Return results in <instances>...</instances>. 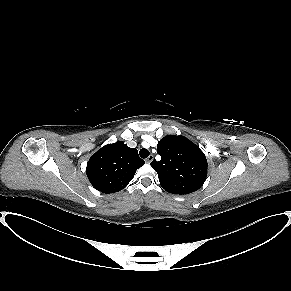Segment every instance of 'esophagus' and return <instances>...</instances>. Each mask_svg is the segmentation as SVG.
Masks as SVG:
<instances>
[{
  "label": "esophagus",
  "mask_w": 291,
  "mask_h": 291,
  "mask_svg": "<svg viewBox=\"0 0 291 291\" xmlns=\"http://www.w3.org/2000/svg\"><path fill=\"white\" fill-rule=\"evenodd\" d=\"M154 159V156L153 155H149L148 158L145 159L146 163H151Z\"/></svg>",
  "instance_id": "obj_1"
}]
</instances>
